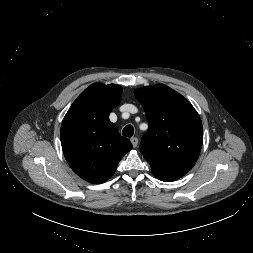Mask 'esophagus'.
I'll return each instance as SVG.
<instances>
[{
    "label": "esophagus",
    "mask_w": 253,
    "mask_h": 253,
    "mask_svg": "<svg viewBox=\"0 0 253 253\" xmlns=\"http://www.w3.org/2000/svg\"><path fill=\"white\" fill-rule=\"evenodd\" d=\"M130 141H131L133 147L136 148L137 145H138V138H137V137H132V138L130 139Z\"/></svg>",
    "instance_id": "esophagus-1"
}]
</instances>
